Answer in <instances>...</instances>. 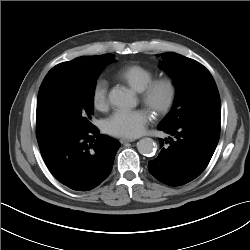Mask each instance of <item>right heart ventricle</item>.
<instances>
[{"label":"right heart ventricle","mask_w":250,"mask_h":250,"mask_svg":"<svg viewBox=\"0 0 250 250\" xmlns=\"http://www.w3.org/2000/svg\"><path fill=\"white\" fill-rule=\"evenodd\" d=\"M155 74L149 68L139 64H132L121 68L116 73V78L127 83L132 89L140 92Z\"/></svg>","instance_id":"obj_1"}]
</instances>
